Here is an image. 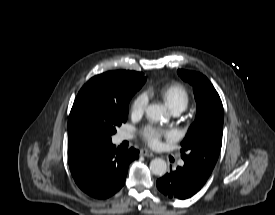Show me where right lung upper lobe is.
I'll return each instance as SVG.
<instances>
[{"label":"right lung upper lobe","instance_id":"obj_1","mask_svg":"<svg viewBox=\"0 0 275 215\" xmlns=\"http://www.w3.org/2000/svg\"><path fill=\"white\" fill-rule=\"evenodd\" d=\"M142 73L134 71H111L94 77L99 90L106 95H115L123 91L127 84L135 82Z\"/></svg>","mask_w":275,"mask_h":215}]
</instances>
